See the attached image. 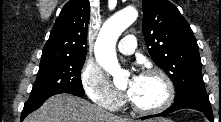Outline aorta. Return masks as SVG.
Listing matches in <instances>:
<instances>
[{"instance_id":"762f6f07","label":"aorta","mask_w":221,"mask_h":122,"mask_svg":"<svg viewBox=\"0 0 221 122\" xmlns=\"http://www.w3.org/2000/svg\"><path fill=\"white\" fill-rule=\"evenodd\" d=\"M136 9L128 7L114 14L102 26L95 42V56L100 66L113 76L116 86L126 83L127 73L121 69L115 45L121 33L137 18Z\"/></svg>"}]
</instances>
